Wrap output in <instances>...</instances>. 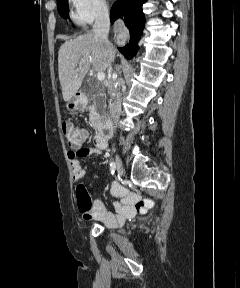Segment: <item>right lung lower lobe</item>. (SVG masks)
Segmentation results:
<instances>
[{"label":"right lung lower lobe","mask_w":240,"mask_h":288,"mask_svg":"<svg viewBox=\"0 0 240 288\" xmlns=\"http://www.w3.org/2000/svg\"><path fill=\"white\" fill-rule=\"evenodd\" d=\"M146 0H118L114 3L110 12V20L113 23L119 18H124V22L130 31V43L119 51L128 59L137 52V42L144 28V14L142 5Z\"/></svg>","instance_id":"obj_1"}]
</instances>
